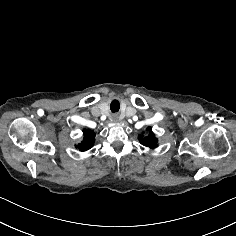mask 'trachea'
<instances>
[{
  "label": "trachea",
  "mask_w": 236,
  "mask_h": 236,
  "mask_svg": "<svg viewBox=\"0 0 236 236\" xmlns=\"http://www.w3.org/2000/svg\"><path fill=\"white\" fill-rule=\"evenodd\" d=\"M109 107L112 113H117L120 108V100L118 98H111L109 100Z\"/></svg>",
  "instance_id": "1"
}]
</instances>
